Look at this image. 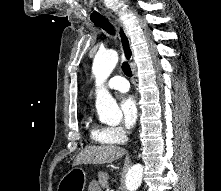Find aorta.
<instances>
[{
    "label": "aorta",
    "instance_id": "obj_1",
    "mask_svg": "<svg viewBox=\"0 0 221 191\" xmlns=\"http://www.w3.org/2000/svg\"><path fill=\"white\" fill-rule=\"evenodd\" d=\"M118 62V54L115 50L109 49L95 55L92 72L96 79L97 96L96 109L100 120L108 124H116L122 118V112L115 99L104 88V82L110 76ZM143 166L135 164L130 167L126 174L125 185L128 191H136L142 182Z\"/></svg>",
    "mask_w": 221,
    "mask_h": 191
}]
</instances>
